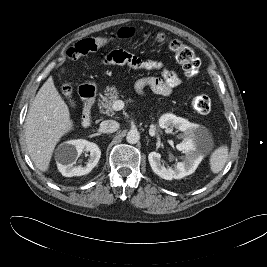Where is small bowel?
I'll return each instance as SVG.
<instances>
[{
    "instance_id": "obj_1",
    "label": "small bowel",
    "mask_w": 267,
    "mask_h": 267,
    "mask_svg": "<svg viewBox=\"0 0 267 267\" xmlns=\"http://www.w3.org/2000/svg\"><path fill=\"white\" fill-rule=\"evenodd\" d=\"M103 61L106 65L126 66L132 70H161V77L147 76L136 81L135 90L139 94H143L145 89L149 88L157 94L168 96L182 82L180 76L174 71L165 69L162 62L152 59L143 60L122 50H115L109 53L104 57Z\"/></svg>"
}]
</instances>
